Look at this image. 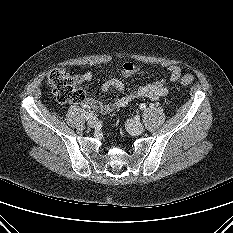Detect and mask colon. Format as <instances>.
I'll return each mask as SVG.
<instances>
[{
	"label": "colon",
	"instance_id": "1",
	"mask_svg": "<svg viewBox=\"0 0 233 233\" xmlns=\"http://www.w3.org/2000/svg\"><path fill=\"white\" fill-rule=\"evenodd\" d=\"M192 82V75H185L181 78L183 85H189ZM47 83L60 103H80L85 98L84 92L77 87L75 78L63 68L50 71Z\"/></svg>",
	"mask_w": 233,
	"mask_h": 233
}]
</instances>
